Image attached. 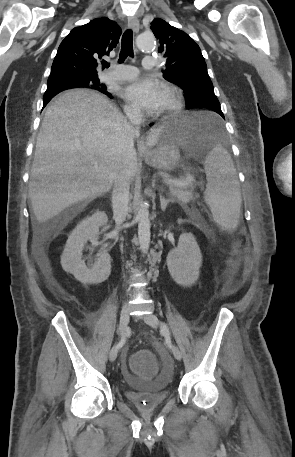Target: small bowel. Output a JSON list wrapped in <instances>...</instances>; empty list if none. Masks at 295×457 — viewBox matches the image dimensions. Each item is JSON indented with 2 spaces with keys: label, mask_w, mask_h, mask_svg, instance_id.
Instances as JSON below:
<instances>
[{
  "label": "small bowel",
  "mask_w": 295,
  "mask_h": 457,
  "mask_svg": "<svg viewBox=\"0 0 295 457\" xmlns=\"http://www.w3.org/2000/svg\"><path fill=\"white\" fill-rule=\"evenodd\" d=\"M237 290V285L234 282H230L227 286V293L231 294Z\"/></svg>",
  "instance_id": "small-bowel-1"
}]
</instances>
